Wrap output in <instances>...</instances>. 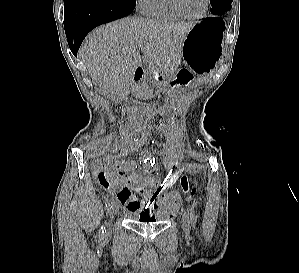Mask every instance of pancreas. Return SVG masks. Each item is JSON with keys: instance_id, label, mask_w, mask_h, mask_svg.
Segmentation results:
<instances>
[{"instance_id": "obj_1", "label": "pancreas", "mask_w": 299, "mask_h": 273, "mask_svg": "<svg viewBox=\"0 0 299 273\" xmlns=\"http://www.w3.org/2000/svg\"><path fill=\"white\" fill-rule=\"evenodd\" d=\"M135 91L137 94L148 92V84L145 81L140 82Z\"/></svg>"}]
</instances>
